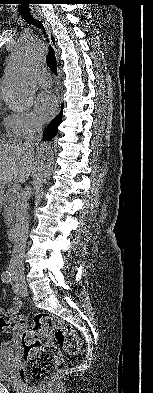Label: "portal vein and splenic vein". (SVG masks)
Returning a JSON list of instances; mask_svg holds the SVG:
<instances>
[{
  "instance_id": "1",
  "label": "portal vein and splenic vein",
  "mask_w": 153,
  "mask_h": 393,
  "mask_svg": "<svg viewBox=\"0 0 153 393\" xmlns=\"http://www.w3.org/2000/svg\"><path fill=\"white\" fill-rule=\"evenodd\" d=\"M19 189H20V186H19L18 184H14V185L11 187V190H12L13 192H18Z\"/></svg>"
}]
</instances>
